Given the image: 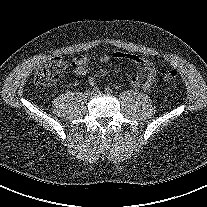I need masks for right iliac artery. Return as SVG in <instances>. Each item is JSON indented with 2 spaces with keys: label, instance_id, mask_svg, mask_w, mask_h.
<instances>
[{
  "label": "right iliac artery",
  "instance_id": "right-iliac-artery-1",
  "mask_svg": "<svg viewBox=\"0 0 207 207\" xmlns=\"http://www.w3.org/2000/svg\"><path fill=\"white\" fill-rule=\"evenodd\" d=\"M100 92V89H99V87H94L93 88V93H99Z\"/></svg>",
  "mask_w": 207,
  "mask_h": 207
}]
</instances>
